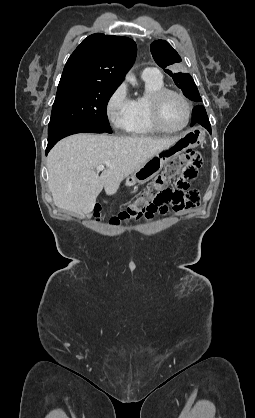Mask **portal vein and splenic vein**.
Returning a JSON list of instances; mask_svg holds the SVG:
<instances>
[{"label":"portal vein and splenic vein","instance_id":"18ae733b","mask_svg":"<svg viewBox=\"0 0 255 418\" xmlns=\"http://www.w3.org/2000/svg\"><path fill=\"white\" fill-rule=\"evenodd\" d=\"M104 168H105V166H104V165H98V166L96 167V170H97V171H102V170H104Z\"/></svg>","mask_w":255,"mask_h":418}]
</instances>
